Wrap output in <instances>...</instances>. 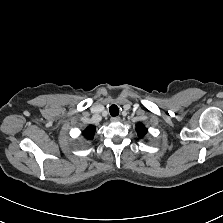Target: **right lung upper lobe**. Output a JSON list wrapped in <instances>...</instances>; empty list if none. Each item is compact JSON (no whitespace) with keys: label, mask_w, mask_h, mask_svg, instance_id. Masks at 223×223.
<instances>
[{"label":"right lung upper lobe","mask_w":223,"mask_h":223,"mask_svg":"<svg viewBox=\"0 0 223 223\" xmlns=\"http://www.w3.org/2000/svg\"><path fill=\"white\" fill-rule=\"evenodd\" d=\"M95 133V127L90 125L88 126L84 131H83V136L86 138V139H92L93 138V135Z\"/></svg>","instance_id":"1"}]
</instances>
